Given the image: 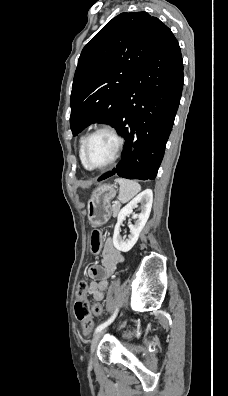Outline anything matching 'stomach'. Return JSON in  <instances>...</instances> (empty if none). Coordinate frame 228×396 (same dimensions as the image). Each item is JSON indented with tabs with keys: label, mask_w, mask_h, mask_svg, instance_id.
Instances as JSON below:
<instances>
[{
	"label": "stomach",
	"mask_w": 228,
	"mask_h": 396,
	"mask_svg": "<svg viewBox=\"0 0 228 396\" xmlns=\"http://www.w3.org/2000/svg\"><path fill=\"white\" fill-rule=\"evenodd\" d=\"M116 191L112 185L104 184L95 189L87 203L88 219L92 226L103 225L111 216V200Z\"/></svg>",
	"instance_id": "1"
}]
</instances>
